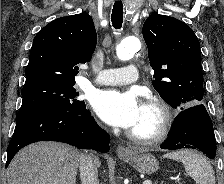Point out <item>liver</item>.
<instances>
[{"instance_id": "6515ba94", "label": "liver", "mask_w": 224, "mask_h": 184, "mask_svg": "<svg viewBox=\"0 0 224 184\" xmlns=\"http://www.w3.org/2000/svg\"><path fill=\"white\" fill-rule=\"evenodd\" d=\"M80 156V151L63 143L31 144L11 161L7 184H76ZM96 164H101L98 159Z\"/></svg>"}]
</instances>
